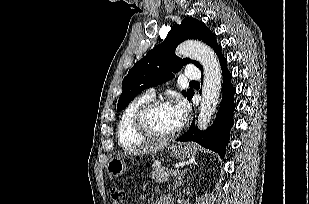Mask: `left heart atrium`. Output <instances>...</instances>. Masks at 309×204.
<instances>
[{"label": "left heart atrium", "instance_id": "obj_1", "mask_svg": "<svg viewBox=\"0 0 309 204\" xmlns=\"http://www.w3.org/2000/svg\"><path fill=\"white\" fill-rule=\"evenodd\" d=\"M173 107L175 109L179 123H183L188 113V106L186 102L183 100H179L175 105H173Z\"/></svg>", "mask_w": 309, "mask_h": 204}]
</instances>
